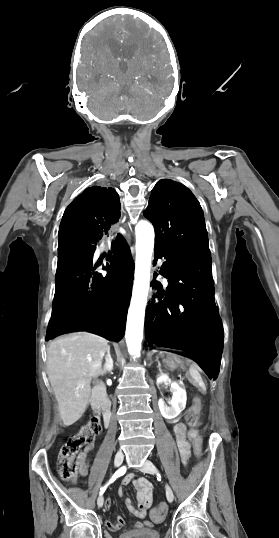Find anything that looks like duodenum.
<instances>
[{"label": "duodenum", "mask_w": 279, "mask_h": 538, "mask_svg": "<svg viewBox=\"0 0 279 538\" xmlns=\"http://www.w3.org/2000/svg\"><path fill=\"white\" fill-rule=\"evenodd\" d=\"M93 390V395L91 396L92 401L90 402V410L92 413L102 412L104 418V424H102V427L109 428V418L111 417L112 410L110 409L111 401L108 400L109 396L107 395V391L103 389V383L101 381L96 383Z\"/></svg>", "instance_id": "1"}]
</instances>
